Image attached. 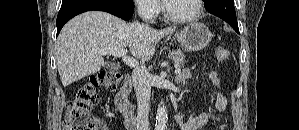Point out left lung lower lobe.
<instances>
[{
	"label": "left lung lower lobe",
	"instance_id": "left-lung-lower-lobe-1",
	"mask_svg": "<svg viewBox=\"0 0 299 130\" xmlns=\"http://www.w3.org/2000/svg\"><path fill=\"white\" fill-rule=\"evenodd\" d=\"M205 6L209 13L223 19L239 33L233 0H209Z\"/></svg>",
	"mask_w": 299,
	"mask_h": 130
}]
</instances>
